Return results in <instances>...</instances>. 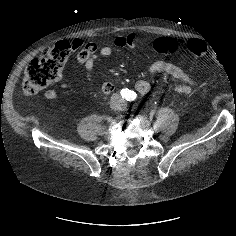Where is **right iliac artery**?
<instances>
[{
    "label": "right iliac artery",
    "instance_id": "1",
    "mask_svg": "<svg viewBox=\"0 0 236 236\" xmlns=\"http://www.w3.org/2000/svg\"><path fill=\"white\" fill-rule=\"evenodd\" d=\"M129 89H122L121 90V95L123 96V97H127L128 95H129Z\"/></svg>",
    "mask_w": 236,
    "mask_h": 236
}]
</instances>
